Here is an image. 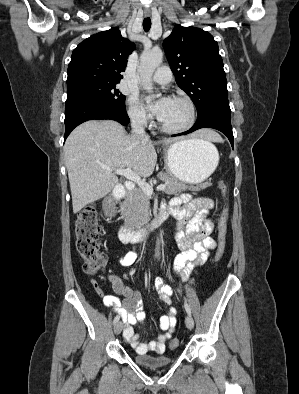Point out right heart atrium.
<instances>
[{"label":"right heart atrium","mask_w":299,"mask_h":394,"mask_svg":"<svg viewBox=\"0 0 299 394\" xmlns=\"http://www.w3.org/2000/svg\"><path fill=\"white\" fill-rule=\"evenodd\" d=\"M128 116L131 122L139 127H146L150 123V115L141 106L136 95L128 99Z\"/></svg>","instance_id":"right-heart-atrium-1"}]
</instances>
